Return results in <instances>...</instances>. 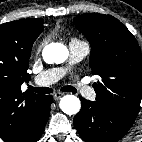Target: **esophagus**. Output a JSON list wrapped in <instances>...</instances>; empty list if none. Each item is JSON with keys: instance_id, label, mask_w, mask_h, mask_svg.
<instances>
[{"instance_id": "34e87169", "label": "esophagus", "mask_w": 142, "mask_h": 142, "mask_svg": "<svg viewBox=\"0 0 142 142\" xmlns=\"http://www.w3.org/2000/svg\"><path fill=\"white\" fill-rule=\"evenodd\" d=\"M64 94L63 93H60V92H57L54 94V99L57 101L59 100Z\"/></svg>"}]
</instances>
